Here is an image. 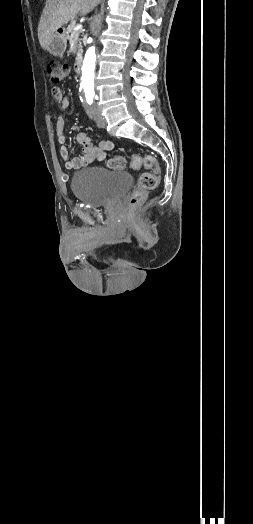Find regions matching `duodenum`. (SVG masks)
Masks as SVG:
<instances>
[{
	"label": "duodenum",
	"mask_w": 253,
	"mask_h": 524,
	"mask_svg": "<svg viewBox=\"0 0 253 524\" xmlns=\"http://www.w3.org/2000/svg\"><path fill=\"white\" fill-rule=\"evenodd\" d=\"M82 69V61L81 59H78L75 63V72L80 73Z\"/></svg>",
	"instance_id": "duodenum-1"
}]
</instances>
